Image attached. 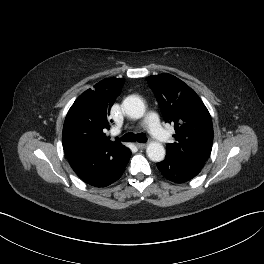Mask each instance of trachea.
<instances>
[{"label": "trachea", "mask_w": 264, "mask_h": 264, "mask_svg": "<svg viewBox=\"0 0 264 264\" xmlns=\"http://www.w3.org/2000/svg\"><path fill=\"white\" fill-rule=\"evenodd\" d=\"M121 140L126 142H134L136 140L139 142H145L147 140V137L143 133H139V134L127 133L121 137Z\"/></svg>", "instance_id": "obj_1"}]
</instances>
